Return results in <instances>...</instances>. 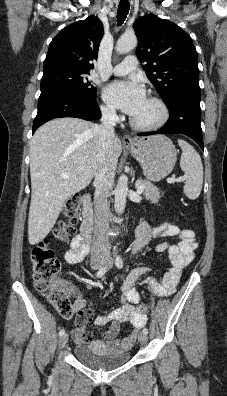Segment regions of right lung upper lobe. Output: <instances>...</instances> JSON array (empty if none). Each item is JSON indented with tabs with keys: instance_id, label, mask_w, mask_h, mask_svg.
I'll use <instances>...</instances> for the list:
<instances>
[{
	"instance_id": "cb5924a9",
	"label": "right lung upper lobe",
	"mask_w": 227,
	"mask_h": 396,
	"mask_svg": "<svg viewBox=\"0 0 227 396\" xmlns=\"http://www.w3.org/2000/svg\"><path fill=\"white\" fill-rule=\"evenodd\" d=\"M103 34V25L94 15L66 26L51 41L43 71L68 68L89 72Z\"/></svg>"
}]
</instances>
